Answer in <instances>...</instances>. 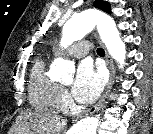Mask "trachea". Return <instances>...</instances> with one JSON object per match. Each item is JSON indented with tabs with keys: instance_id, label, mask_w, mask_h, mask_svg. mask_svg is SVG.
<instances>
[{
	"instance_id": "1",
	"label": "trachea",
	"mask_w": 153,
	"mask_h": 134,
	"mask_svg": "<svg viewBox=\"0 0 153 134\" xmlns=\"http://www.w3.org/2000/svg\"><path fill=\"white\" fill-rule=\"evenodd\" d=\"M97 54H98L99 56H104V55H105L104 49L98 48V49H97Z\"/></svg>"
}]
</instances>
